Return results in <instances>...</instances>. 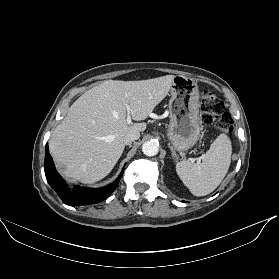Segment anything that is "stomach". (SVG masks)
Wrapping results in <instances>:
<instances>
[{
  "instance_id": "obj_1",
  "label": "stomach",
  "mask_w": 279,
  "mask_h": 279,
  "mask_svg": "<svg viewBox=\"0 0 279 279\" xmlns=\"http://www.w3.org/2000/svg\"><path fill=\"white\" fill-rule=\"evenodd\" d=\"M170 93L167 137L172 149L182 152L193 147L200 137L199 89L195 80L178 75Z\"/></svg>"
}]
</instances>
